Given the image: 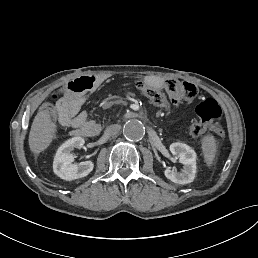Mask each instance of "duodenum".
<instances>
[{
	"label": "duodenum",
	"instance_id": "duodenum-1",
	"mask_svg": "<svg viewBox=\"0 0 258 258\" xmlns=\"http://www.w3.org/2000/svg\"><path fill=\"white\" fill-rule=\"evenodd\" d=\"M79 135L86 136V134H84V133H81V132L79 133Z\"/></svg>",
	"mask_w": 258,
	"mask_h": 258
}]
</instances>
